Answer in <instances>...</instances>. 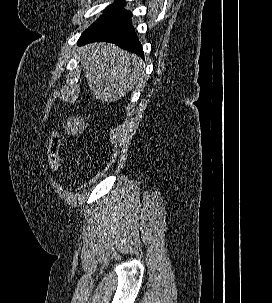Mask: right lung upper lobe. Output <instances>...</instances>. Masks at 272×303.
<instances>
[{
  "instance_id": "cb5924a9",
  "label": "right lung upper lobe",
  "mask_w": 272,
  "mask_h": 303,
  "mask_svg": "<svg viewBox=\"0 0 272 303\" xmlns=\"http://www.w3.org/2000/svg\"><path fill=\"white\" fill-rule=\"evenodd\" d=\"M118 2H123V0H120V1H118Z\"/></svg>"
}]
</instances>
